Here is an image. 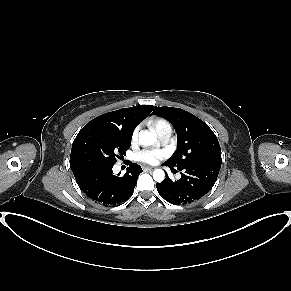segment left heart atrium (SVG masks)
I'll return each instance as SVG.
<instances>
[{"label":"left heart atrium","instance_id":"obj_1","mask_svg":"<svg viewBox=\"0 0 291 291\" xmlns=\"http://www.w3.org/2000/svg\"><path fill=\"white\" fill-rule=\"evenodd\" d=\"M164 156L165 152L162 150L147 149L139 152L137 154V159L148 164H155Z\"/></svg>","mask_w":291,"mask_h":291}]
</instances>
